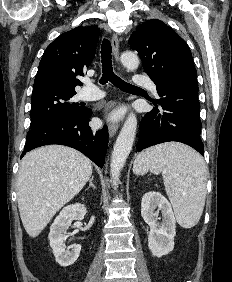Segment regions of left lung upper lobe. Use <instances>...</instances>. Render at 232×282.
<instances>
[{
    "mask_svg": "<svg viewBox=\"0 0 232 282\" xmlns=\"http://www.w3.org/2000/svg\"><path fill=\"white\" fill-rule=\"evenodd\" d=\"M154 83L198 86L191 51L185 41L160 20L137 26L129 39Z\"/></svg>",
    "mask_w": 232,
    "mask_h": 282,
    "instance_id": "5c2ea615",
    "label": "left lung upper lobe"
}]
</instances>
